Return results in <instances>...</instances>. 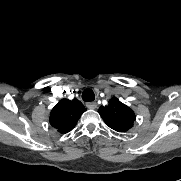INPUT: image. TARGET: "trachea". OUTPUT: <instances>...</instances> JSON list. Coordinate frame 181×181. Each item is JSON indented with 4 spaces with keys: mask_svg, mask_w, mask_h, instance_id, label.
Returning a JSON list of instances; mask_svg holds the SVG:
<instances>
[{
    "mask_svg": "<svg viewBox=\"0 0 181 181\" xmlns=\"http://www.w3.org/2000/svg\"><path fill=\"white\" fill-rule=\"evenodd\" d=\"M82 99L86 102L93 101L95 99L94 92L91 89H85L82 93Z\"/></svg>",
    "mask_w": 181,
    "mask_h": 181,
    "instance_id": "obj_1",
    "label": "trachea"
}]
</instances>
